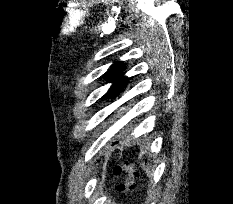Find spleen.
<instances>
[{
    "instance_id": "obj_1",
    "label": "spleen",
    "mask_w": 233,
    "mask_h": 204,
    "mask_svg": "<svg viewBox=\"0 0 233 204\" xmlns=\"http://www.w3.org/2000/svg\"><path fill=\"white\" fill-rule=\"evenodd\" d=\"M143 167H144V170L146 171L148 178L151 179L153 177V169L151 171L149 167L145 168V165H143Z\"/></svg>"
}]
</instances>
